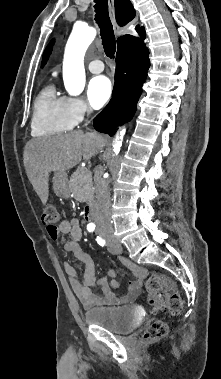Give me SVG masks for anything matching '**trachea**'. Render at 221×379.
Returning a JSON list of instances; mask_svg holds the SVG:
<instances>
[{
  "label": "trachea",
  "mask_w": 221,
  "mask_h": 379,
  "mask_svg": "<svg viewBox=\"0 0 221 379\" xmlns=\"http://www.w3.org/2000/svg\"><path fill=\"white\" fill-rule=\"evenodd\" d=\"M94 2V8L96 12L95 21L100 28V35L105 54L110 58H114L116 51V42L113 26L109 18L107 0H94Z\"/></svg>",
  "instance_id": "trachea-1"
}]
</instances>
